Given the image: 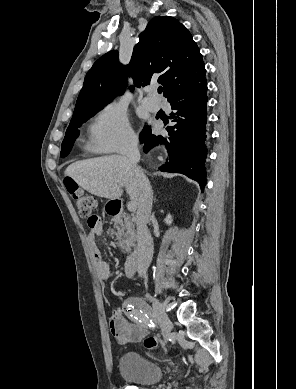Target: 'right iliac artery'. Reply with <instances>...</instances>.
Instances as JSON below:
<instances>
[{
  "mask_svg": "<svg viewBox=\"0 0 296 389\" xmlns=\"http://www.w3.org/2000/svg\"><path fill=\"white\" fill-rule=\"evenodd\" d=\"M125 308L132 320L143 323L150 328L155 326L153 320L149 317L151 309L142 299L129 298L125 303Z\"/></svg>",
  "mask_w": 296,
  "mask_h": 389,
  "instance_id": "82829eb1",
  "label": "right iliac artery"
}]
</instances>
